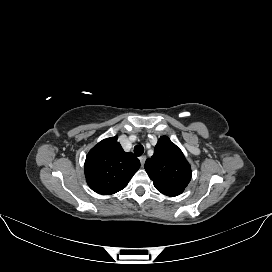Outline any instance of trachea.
<instances>
[{"label":"trachea","mask_w":272,"mask_h":272,"mask_svg":"<svg viewBox=\"0 0 272 272\" xmlns=\"http://www.w3.org/2000/svg\"><path fill=\"white\" fill-rule=\"evenodd\" d=\"M134 153L136 156H141L144 153V147L141 144H138L134 147Z\"/></svg>","instance_id":"1"}]
</instances>
